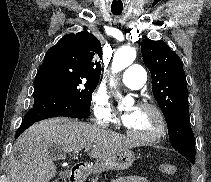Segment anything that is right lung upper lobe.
Returning <instances> with one entry per match:
<instances>
[{"mask_svg":"<svg viewBox=\"0 0 211 182\" xmlns=\"http://www.w3.org/2000/svg\"><path fill=\"white\" fill-rule=\"evenodd\" d=\"M95 57L102 58V48L94 35L88 32L70 33L47 51L41 67L59 64L99 80L101 65Z\"/></svg>","mask_w":211,"mask_h":182,"instance_id":"1","label":"right lung upper lobe"}]
</instances>
